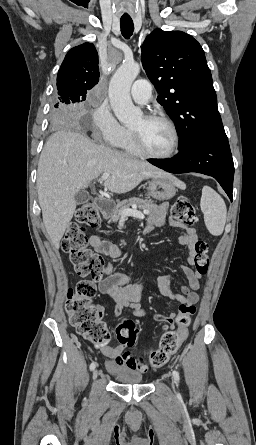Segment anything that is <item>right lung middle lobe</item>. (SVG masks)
Segmentation results:
<instances>
[{
	"label": "right lung middle lobe",
	"mask_w": 256,
	"mask_h": 445,
	"mask_svg": "<svg viewBox=\"0 0 256 445\" xmlns=\"http://www.w3.org/2000/svg\"><path fill=\"white\" fill-rule=\"evenodd\" d=\"M58 95L59 102L55 105L56 109L52 111L51 117L54 122L63 123L70 118V104L81 102L85 99L75 96L73 92L70 91L58 92Z\"/></svg>",
	"instance_id": "obj_1"
}]
</instances>
